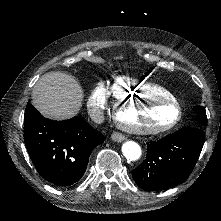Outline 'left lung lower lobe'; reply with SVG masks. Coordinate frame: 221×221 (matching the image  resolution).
I'll return each instance as SVG.
<instances>
[{"instance_id":"1","label":"left lung lower lobe","mask_w":221,"mask_h":221,"mask_svg":"<svg viewBox=\"0 0 221 221\" xmlns=\"http://www.w3.org/2000/svg\"><path fill=\"white\" fill-rule=\"evenodd\" d=\"M203 144L204 131L190 127L148 142L146 159L132 171L133 179L148 191L181 184L192 172Z\"/></svg>"}]
</instances>
